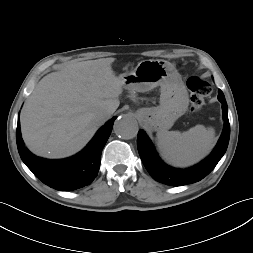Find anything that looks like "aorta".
Instances as JSON below:
<instances>
[{
	"label": "aorta",
	"mask_w": 253,
	"mask_h": 253,
	"mask_svg": "<svg viewBox=\"0 0 253 253\" xmlns=\"http://www.w3.org/2000/svg\"><path fill=\"white\" fill-rule=\"evenodd\" d=\"M114 133L123 139L134 138L139 130L137 120L130 115L118 117L114 123Z\"/></svg>",
	"instance_id": "762f6f07"
}]
</instances>
